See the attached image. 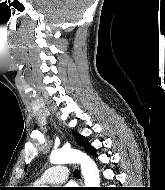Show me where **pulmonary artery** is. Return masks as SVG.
Returning a JSON list of instances; mask_svg holds the SVG:
<instances>
[{
    "instance_id": "pulmonary-artery-1",
    "label": "pulmonary artery",
    "mask_w": 165,
    "mask_h": 190,
    "mask_svg": "<svg viewBox=\"0 0 165 190\" xmlns=\"http://www.w3.org/2000/svg\"><path fill=\"white\" fill-rule=\"evenodd\" d=\"M69 175L68 168L63 165H55L48 168L38 179L37 183H63Z\"/></svg>"
}]
</instances>
